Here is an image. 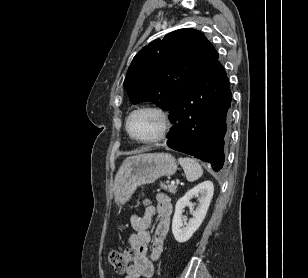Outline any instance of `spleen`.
Segmentation results:
<instances>
[{
	"label": "spleen",
	"mask_w": 308,
	"mask_h": 278,
	"mask_svg": "<svg viewBox=\"0 0 308 278\" xmlns=\"http://www.w3.org/2000/svg\"><path fill=\"white\" fill-rule=\"evenodd\" d=\"M178 162L182 166L189 182H194L202 176L203 169L195 159L184 157L179 158Z\"/></svg>",
	"instance_id": "obj_1"
}]
</instances>
